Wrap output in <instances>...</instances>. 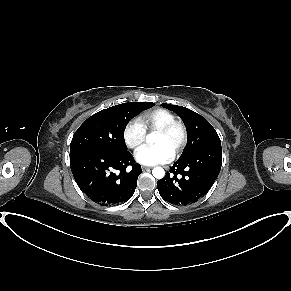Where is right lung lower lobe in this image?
<instances>
[{
  "label": "right lung lower lobe",
  "instance_id": "98d812e1",
  "mask_svg": "<svg viewBox=\"0 0 291 291\" xmlns=\"http://www.w3.org/2000/svg\"><path fill=\"white\" fill-rule=\"evenodd\" d=\"M70 167L79 188L100 205H116L129 200L142 173L141 166L135 163L129 151L77 152L70 154Z\"/></svg>",
  "mask_w": 291,
  "mask_h": 291
}]
</instances>
